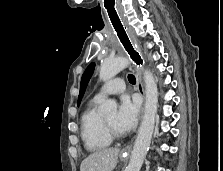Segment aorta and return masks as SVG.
I'll use <instances>...</instances> for the list:
<instances>
[{
	"mask_svg": "<svg viewBox=\"0 0 223 171\" xmlns=\"http://www.w3.org/2000/svg\"><path fill=\"white\" fill-rule=\"evenodd\" d=\"M128 64L129 60L124 57L105 59L101 64L99 77L101 80L107 81L126 68ZM144 82V115L126 171H140L154 131L158 108V89L153 74L148 70L144 71ZM101 109L106 114L115 113L117 103L114 100L107 99Z\"/></svg>",
	"mask_w": 223,
	"mask_h": 171,
	"instance_id": "aorta-1",
	"label": "aorta"
}]
</instances>
